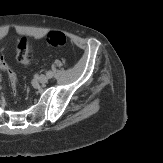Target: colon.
Listing matches in <instances>:
<instances>
[{"label":"colon","instance_id":"obj_1","mask_svg":"<svg viewBox=\"0 0 163 163\" xmlns=\"http://www.w3.org/2000/svg\"><path fill=\"white\" fill-rule=\"evenodd\" d=\"M46 41L49 45L53 47H62L66 43V37L62 32L53 31L48 33L46 36ZM16 58L18 62L23 65H29L32 61V56L30 55V44L27 39H22L16 48ZM0 69L4 71L7 76L11 86L15 89L17 85V78L11 67L4 60L2 53L0 52Z\"/></svg>","mask_w":163,"mask_h":163}]
</instances>
